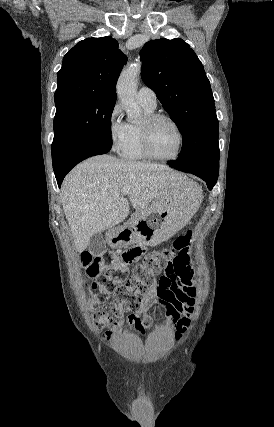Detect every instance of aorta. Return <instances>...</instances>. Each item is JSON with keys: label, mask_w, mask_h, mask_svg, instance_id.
<instances>
[{"label": "aorta", "mask_w": 274, "mask_h": 427, "mask_svg": "<svg viewBox=\"0 0 274 427\" xmlns=\"http://www.w3.org/2000/svg\"><path fill=\"white\" fill-rule=\"evenodd\" d=\"M140 72V61L130 64L121 72L116 86L122 107L132 120L137 119L140 115V108L136 104L137 83Z\"/></svg>", "instance_id": "1"}]
</instances>
